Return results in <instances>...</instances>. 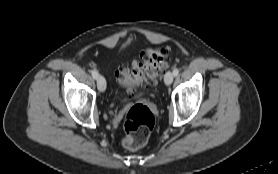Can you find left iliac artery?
Masks as SVG:
<instances>
[{
	"instance_id": "left-iliac-artery-1",
	"label": "left iliac artery",
	"mask_w": 278,
	"mask_h": 174,
	"mask_svg": "<svg viewBox=\"0 0 278 174\" xmlns=\"http://www.w3.org/2000/svg\"><path fill=\"white\" fill-rule=\"evenodd\" d=\"M173 74H174V76H177V75L179 74V69H178V68H175V69L173 70Z\"/></svg>"
}]
</instances>
